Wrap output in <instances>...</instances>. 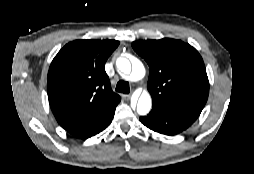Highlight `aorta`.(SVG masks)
<instances>
[{
    "mask_svg": "<svg viewBox=\"0 0 254 174\" xmlns=\"http://www.w3.org/2000/svg\"><path fill=\"white\" fill-rule=\"evenodd\" d=\"M117 68L125 75H130V79L133 81H137L142 79L145 76V67L143 63L135 59L131 62L127 58H118L116 61ZM152 107V99L149 92L144 91L137 103V113L139 115H146L149 113Z\"/></svg>",
    "mask_w": 254,
    "mask_h": 174,
    "instance_id": "1",
    "label": "aorta"
}]
</instances>
